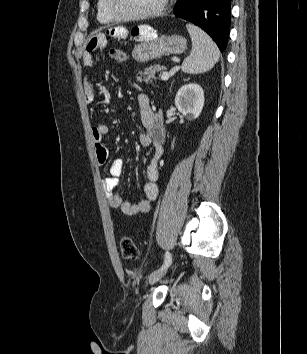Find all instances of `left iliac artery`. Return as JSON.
I'll use <instances>...</instances> for the list:
<instances>
[{"label":"left iliac artery","mask_w":307,"mask_h":354,"mask_svg":"<svg viewBox=\"0 0 307 354\" xmlns=\"http://www.w3.org/2000/svg\"><path fill=\"white\" fill-rule=\"evenodd\" d=\"M171 262H172V256H171L170 252L167 251L165 253L164 263L161 266L160 270H164V269L168 268L169 265L171 264Z\"/></svg>","instance_id":"44dca946"}]
</instances>
